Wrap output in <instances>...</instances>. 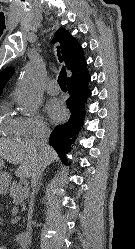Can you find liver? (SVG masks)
<instances>
[{"label":"liver","instance_id":"liver-1","mask_svg":"<svg viewBox=\"0 0 135 249\" xmlns=\"http://www.w3.org/2000/svg\"><path fill=\"white\" fill-rule=\"evenodd\" d=\"M2 158L9 163L19 165L15 172L17 176L30 178L39 165L46 168L58 157L51 146L45 151H39L32 143V139L21 141L0 138V159Z\"/></svg>","mask_w":135,"mask_h":249}]
</instances>
